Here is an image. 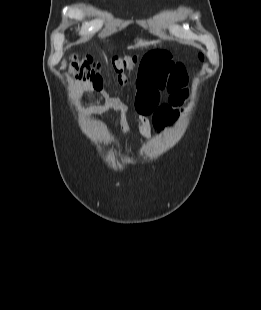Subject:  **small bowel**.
Here are the masks:
<instances>
[{
    "label": "small bowel",
    "mask_w": 261,
    "mask_h": 310,
    "mask_svg": "<svg viewBox=\"0 0 261 310\" xmlns=\"http://www.w3.org/2000/svg\"><path fill=\"white\" fill-rule=\"evenodd\" d=\"M188 83L187 73L183 64L175 62L167 52L156 51L147 54L140 66V76L137 83L136 107L140 114L141 133L144 136H151L154 128H162L172 122L188 97L186 89ZM89 87H83L82 92L89 91ZM167 91L169 101L159 106L160 93ZM105 107L124 112L125 104L115 98L105 95ZM97 108L86 109V114L91 115ZM153 114V125L149 122V115ZM94 128L102 131L103 125L99 122ZM121 130L128 136L126 121L121 122Z\"/></svg>",
    "instance_id": "c3829d8e"
}]
</instances>
